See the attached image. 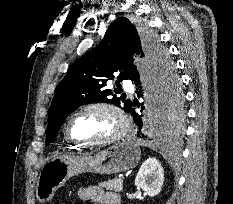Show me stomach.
Listing matches in <instances>:
<instances>
[{
  "mask_svg": "<svg viewBox=\"0 0 233 204\" xmlns=\"http://www.w3.org/2000/svg\"><path fill=\"white\" fill-rule=\"evenodd\" d=\"M141 157L139 145L124 140L94 156H61L49 160L42 167L36 186V197L41 203L53 199L55 191L72 176L85 172L115 174L137 166Z\"/></svg>",
  "mask_w": 233,
  "mask_h": 204,
  "instance_id": "0dacf381",
  "label": "stomach"
}]
</instances>
